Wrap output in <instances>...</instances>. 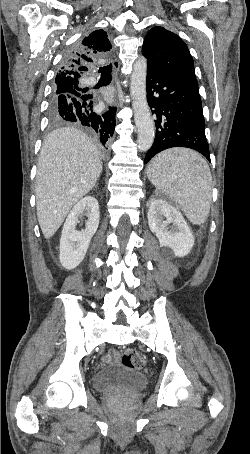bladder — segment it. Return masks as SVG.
<instances>
[{
    "label": "bladder",
    "instance_id": "obj_1",
    "mask_svg": "<svg viewBox=\"0 0 250 454\" xmlns=\"http://www.w3.org/2000/svg\"><path fill=\"white\" fill-rule=\"evenodd\" d=\"M147 385V376L123 364H110L93 374L92 386L97 392L139 391Z\"/></svg>",
    "mask_w": 250,
    "mask_h": 454
}]
</instances>
